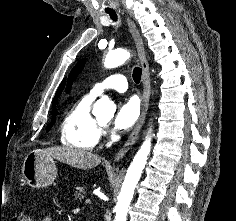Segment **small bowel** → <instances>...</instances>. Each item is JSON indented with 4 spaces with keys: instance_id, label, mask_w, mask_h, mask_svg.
I'll use <instances>...</instances> for the list:
<instances>
[{
    "instance_id": "small-bowel-1",
    "label": "small bowel",
    "mask_w": 236,
    "mask_h": 221,
    "mask_svg": "<svg viewBox=\"0 0 236 221\" xmlns=\"http://www.w3.org/2000/svg\"><path fill=\"white\" fill-rule=\"evenodd\" d=\"M42 221H53V217L52 214L49 212L47 213L44 218L42 219Z\"/></svg>"
}]
</instances>
